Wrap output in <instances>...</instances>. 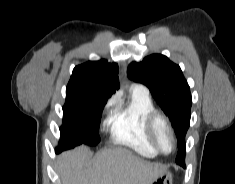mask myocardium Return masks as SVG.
<instances>
[{
	"instance_id": "f54148a6",
	"label": "myocardium",
	"mask_w": 235,
	"mask_h": 184,
	"mask_svg": "<svg viewBox=\"0 0 235 184\" xmlns=\"http://www.w3.org/2000/svg\"><path fill=\"white\" fill-rule=\"evenodd\" d=\"M161 126L167 128L173 136L174 148L170 153L164 152L158 144L157 132ZM146 128H147V132L150 137L151 143H152L154 149L158 153L165 155V156H168V155H171L172 153L175 152V150L177 148V143H178L176 132H175L173 126L171 125L169 119L164 114L159 113L157 111L153 112L147 119Z\"/></svg>"
}]
</instances>
